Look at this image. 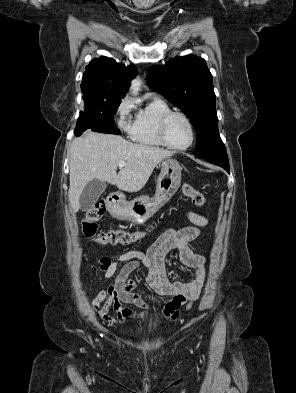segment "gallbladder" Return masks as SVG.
Here are the masks:
<instances>
[{
    "label": "gallbladder",
    "instance_id": "1",
    "mask_svg": "<svg viewBox=\"0 0 296 393\" xmlns=\"http://www.w3.org/2000/svg\"><path fill=\"white\" fill-rule=\"evenodd\" d=\"M107 185L99 180H91L82 191L79 202L82 211H88L98 201L101 194L105 191Z\"/></svg>",
    "mask_w": 296,
    "mask_h": 393
}]
</instances>
